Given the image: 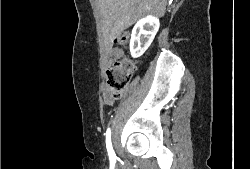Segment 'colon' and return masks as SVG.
Here are the masks:
<instances>
[{
	"label": "colon",
	"instance_id": "5ec220e1",
	"mask_svg": "<svg viewBox=\"0 0 250 169\" xmlns=\"http://www.w3.org/2000/svg\"><path fill=\"white\" fill-rule=\"evenodd\" d=\"M114 43L120 46L126 45L128 34H114ZM135 71V62L129 58L116 59L107 70L108 91L114 98H121L132 78Z\"/></svg>",
	"mask_w": 250,
	"mask_h": 169
}]
</instances>
